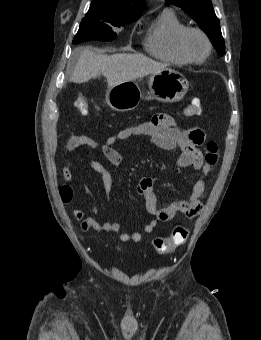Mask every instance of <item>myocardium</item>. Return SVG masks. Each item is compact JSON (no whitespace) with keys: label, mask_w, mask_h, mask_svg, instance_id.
<instances>
[{"label":"myocardium","mask_w":261,"mask_h":340,"mask_svg":"<svg viewBox=\"0 0 261 340\" xmlns=\"http://www.w3.org/2000/svg\"><path fill=\"white\" fill-rule=\"evenodd\" d=\"M190 33H198L199 35H201L204 38V40L207 44V52H206L205 56L201 59L192 58L187 53V51L185 49V39ZM176 45H177V49H178L179 53L190 63H202L210 56V54L212 52V43H211L209 36L206 34V32L204 30H202L199 27H194V26H186L179 33V35L177 37Z\"/></svg>","instance_id":"f54148a6"}]
</instances>
